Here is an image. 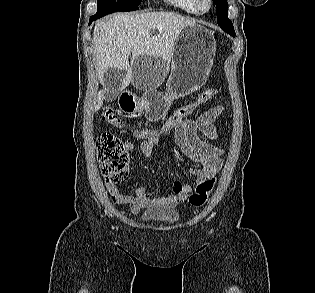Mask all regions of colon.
<instances>
[{
    "instance_id": "5ec220e1",
    "label": "colon",
    "mask_w": 315,
    "mask_h": 293,
    "mask_svg": "<svg viewBox=\"0 0 315 293\" xmlns=\"http://www.w3.org/2000/svg\"><path fill=\"white\" fill-rule=\"evenodd\" d=\"M216 93H221V88H209L203 91L197 100L189 105L179 108L157 131L142 130L136 133L139 138H149L151 136L166 133L184 117L188 116L193 109L207 100L213 98ZM102 119L114 126H120L121 120L112 107L105 106L102 109ZM98 159L101 172L107 183L118 185L123 183L129 172L130 154L126 144L117 136L112 134H102L97 140ZM216 179L211 177L196 185L195 191L189 197V203L193 207H201L207 201L210 193L214 189Z\"/></svg>"
}]
</instances>
